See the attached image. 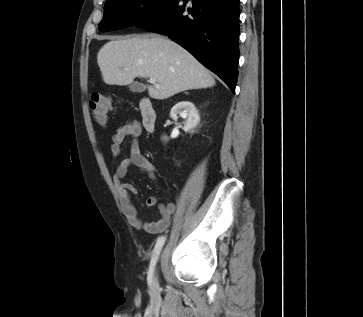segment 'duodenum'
Masks as SVG:
<instances>
[{
  "instance_id": "duodenum-1",
  "label": "duodenum",
  "mask_w": 363,
  "mask_h": 317,
  "mask_svg": "<svg viewBox=\"0 0 363 317\" xmlns=\"http://www.w3.org/2000/svg\"><path fill=\"white\" fill-rule=\"evenodd\" d=\"M142 123L148 132L156 130L157 114L155 108L149 99H142L139 104Z\"/></svg>"
}]
</instances>
